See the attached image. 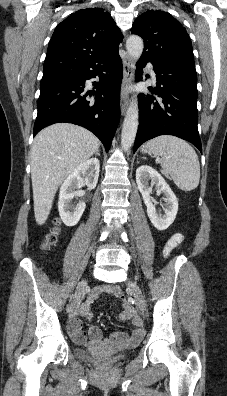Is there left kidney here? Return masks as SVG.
I'll return each mask as SVG.
<instances>
[{"instance_id": "obj_1", "label": "left kidney", "mask_w": 227, "mask_h": 396, "mask_svg": "<svg viewBox=\"0 0 227 396\" xmlns=\"http://www.w3.org/2000/svg\"><path fill=\"white\" fill-rule=\"evenodd\" d=\"M151 181V186L149 182ZM136 182L147 207V215L155 228L167 229L175 220L178 211V200L165 179L160 173L150 166L142 165L136 170ZM152 185L158 187V192L163 193L165 203L161 204L164 212L156 210L152 203Z\"/></svg>"}]
</instances>
